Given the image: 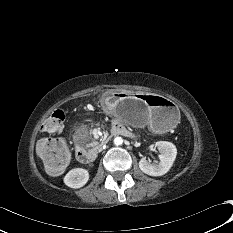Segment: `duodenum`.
Returning <instances> with one entry per match:
<instances>
[{
    "label": "duodenum",
    "mask_w": 233,
    "mask_h": 233,
    "mask_svg": "<svg viewBox=\"0 0 233 233\" xmlns=\"http://www.w3.org/2000/svg\"><path fill=\"white\" fill-rule=\"evenodd\" d=\"M130 133L120 124H114L111 128V135H124L128 136ZM77 159L82 163H90L96 159L97 151L95 150H85L82 147H77L76 149Z\"/></svg>",
    "instance_id": "obj_1"
}]
</instances>
